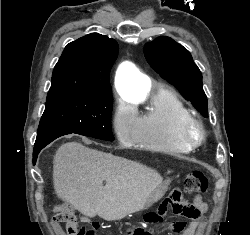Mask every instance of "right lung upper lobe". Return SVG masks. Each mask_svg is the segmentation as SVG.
Instances as JSON below:
<instances>
[{"mask_svg":"<svg viewBox=\"0 0 250 235\" xmlns=\"http://www.w3.org/2000/svg\"><path fill=\"white\" fill-rule=\"evenodd\" d=\"M117 54V42L98 33L69 43L53 70L47 97L111 91L109 73Z\"/></svg>","mask_w":250,"mask_h":235,"instance_id":"right-lung-upper-lobe-1","label":"right lung upper lobe"}]
</instances>
